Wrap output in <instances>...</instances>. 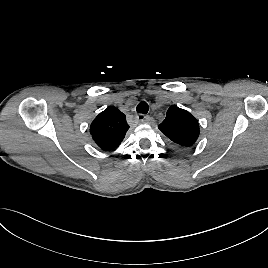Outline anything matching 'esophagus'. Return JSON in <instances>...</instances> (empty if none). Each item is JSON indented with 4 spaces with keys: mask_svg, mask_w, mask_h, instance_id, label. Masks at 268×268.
<instances>
[{
    "mask_svg": "<svg viewBox=\"0 0 268 268\" xmlns=\"http://www.w3.org/2000/svg\"><path fill=\"white\" fill-rule=\"evenodd\" d=\"M136 118L141 123H143L149 119V117L144 115V114H138Z\"/></svg>",
    "mask_w": 268,
    "mask_h": 268,
    "instance_id": "esophagus-1",
    "label": "esophagus"
}]
</instances>
